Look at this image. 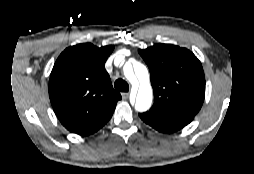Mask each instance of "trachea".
Listing matches in <instances>:
<instances>
[{"instance_id": "1", "label": "trachea", "mask_w": 254, "mask_h": 174, "mask_svg": "<svg viewBox=\"0 0 254 174\" xmlns=\"http://www.w3.org/2000/svg\"><path fill=\"white\" fill-rule=\"evenodd\" d=\"M114 87L116 90L127 92L129 90L128 83L123 79H117L114 83Z\"/></svg>"}]
</instances>
